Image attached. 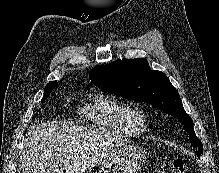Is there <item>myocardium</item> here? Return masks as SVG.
I'll list each match as a JSON object with an SVG mask.
<instances>
[{
    "mask_svg": "<svg viewBox=\"0 0 219 173\" xmlns=\"http://www.w3.org/2000/svg\"><path fill=\"white\" fill-rule=\"evenodd\" d=\"M130 117L135 126L139 129H144L146 127V122L148 115L143 107L136 106L130 109Z\"/></svg>",
    "mask_w": 219,
    "mask_h": 173,
    "instance_id": "f54148a6",
    "label": "myocardium"
}]
</instances>
